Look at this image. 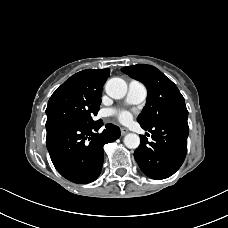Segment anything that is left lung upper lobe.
I'll return each instance as SVG.
<instances>
[{"instance_id": "obj_1", "label": "left lung upper lobe", "mask_w": 228, "mask_h": 228, "mask_svg": "<svg viewBox=\"0 0 228 228\" xmlns=\"http://www.w3.org/2000/svg\"><path fill=\"white\" fill-rule=\"evenodd\" d=\"M121 70L147 87L146 105L137 118L141 126L153 127L165 120L188 116L184 98L177 86L156 67L137 64Z\"/></svg>"}]
</instances>
